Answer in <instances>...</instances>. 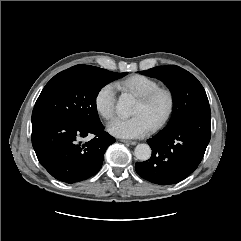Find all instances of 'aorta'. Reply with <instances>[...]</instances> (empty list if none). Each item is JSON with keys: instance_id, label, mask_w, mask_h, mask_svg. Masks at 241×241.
<instances>
[{"instance_id": "1", "label": "aorta", "mask_w": 241, "mask_h": 241, "mask_svg": "<svg viewBox=\"0 0 241 241\" xmlns=\"http://www.w3.org/2000/svg\"><path fill=\"white\" fill-rule=\"evenodd\" d=\"M133 105L134 101L130 97L122 95L118 100L116 109L121 116L128 117L132 112ZM151 152L148 144H138L135 147L134 155L138 160L146 161L151 157Z\"/></svg>"}]
</instances>
